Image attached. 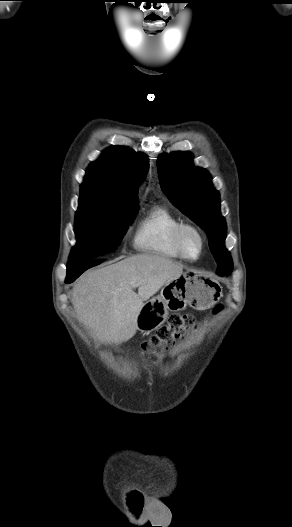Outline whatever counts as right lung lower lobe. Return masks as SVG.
<instances>
[{
  "label": "right lung lower lobe",
  "instance_id": "1",
  "mask_svg": "<svg viewBox=\"0 0 292 527\" xmlns=\"http://www.w3.org/2000/svg\"><path fill=\"white\" fill-rule=\"evenodd\" d=\"M102 261L86 260V261H71L68 263L66 283H72L77 277H79L85 270L95 265L100 264Z\"/></svg>",
  "mask_w": 292,
  "mask_h": 527
}]
</instances>
